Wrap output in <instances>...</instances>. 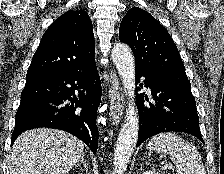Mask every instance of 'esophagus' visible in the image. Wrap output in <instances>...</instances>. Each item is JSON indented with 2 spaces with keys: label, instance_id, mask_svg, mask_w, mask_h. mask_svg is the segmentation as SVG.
<instances>
[{
  "label": "esophagus",
  "instance_id": "obj_1",
  "mask_svg": "<svg viewBox=\"0 0 224 174\" xmlns=\"http://www.w3.org/2000/svg\"><path fill=\"white\" fill-rule=\"evenodd\" d=\"M110 119L117 125L122 117L124 109V94L116 73L111 72V85L109 88Z\"/></svg>",
  "mask_w": 224,
  "mask_h": 174
}]
</instances>
